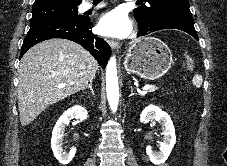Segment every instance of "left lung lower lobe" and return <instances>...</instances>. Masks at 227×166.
<instances>
[{
	"mask_svg": "<svg viewBox=\"0 0 227 166\" xmlns=\"http://www.w3.org/2000/svg\"><path fill=\"white\" fill-rule=\"evenodd\" d=\"M138 26V37L145 36L158 30L178 29L190 34L196 40L199 39L194 28V22L190 10H178L165 13L157 17V19L149 25H144L138 22Z\"/></svg>",
	"mask_w": 227,
	"mask_h": 166,
	"instance_id": "left-lung-lower-lobe-1",
	"label": "left lung lower lobe"
}]
</instances>
